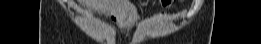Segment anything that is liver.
I'll return each mask as SVG.
<instances>
[{
    "instance_id": "1",
    "label": "liver",
    "mask_w": 261,
    "mask_h": 44,
    "mask_svg": "<svg viewBox=\"0 0 261 44\" xmlns=\"http://www.w3.org/2000/svg\"><path fill=\"white\" fill-rule=\"evenodd\" d=\"M81 3L107 16L115 15L118 19H131L132 16L128 13L132 11L134 17H137L136 8L130 4L129 0H81Z\"/></svg>"
}]
</instances>
